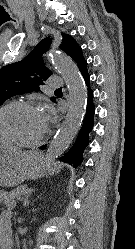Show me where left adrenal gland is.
Segmentation results:
<instances>
[{"instance_id": "a2214340", "label": "left adrenal gland", "mask_w": 135, "mask_h": 249, "mask_svg": "<svg viewBox=\"0 0 135 249\" xmlns=\"http://www.w3.org/2000/svg\"><path fill=\"white\" fill-rule=\"evenodd\" d=\"M29 204H30V202H29V200H28V197H26V198L24 199L23 207H27V206H29Z\"/></svg>"}]
</instances>
